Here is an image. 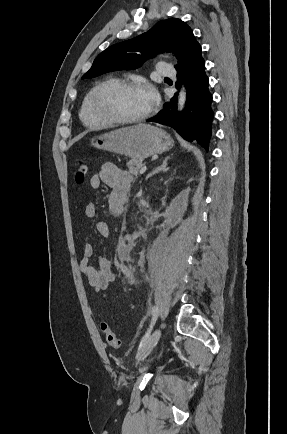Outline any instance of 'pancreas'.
I'll list each match as a JSON object with an SVG mask.
<instances>
[{"instance_id": "1", "label": "pancreas", "mask_w": 287, "mask_h": 434, "mask_svg": "<svg viewBox=\"0 0 287 434\" xmlns=\"http://www.w3.org/2000/svg\"><path fill=\"white\" fill-rule=\"evenodd\" d=\"M129 173H131L134 176H137L139 174L140 169L143 166L142 160H130L126 164Z\"/></svg>"}]
</instances>
